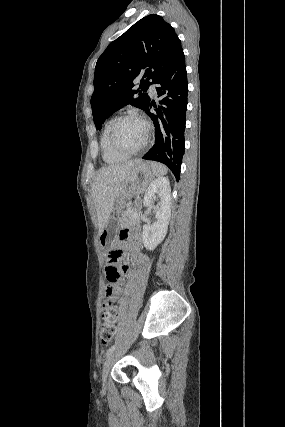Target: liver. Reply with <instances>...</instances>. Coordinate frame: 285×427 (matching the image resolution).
<instances>
[{
  "instance_id": "liver-1",
  "label": "liver",
  "mask_w": 285,
  "mask_h": 427,
  "mask_svg": "<svg viewBox=\"0 0 285 427\" xmlns=\"http://www.w3.org/2000/svg\"><path fill=\"white\" fill-rule=\"evenodd\" d=\"M140 160H132L123 164L102 168L92 184V197L96 209L99 234L105 228L121 188L126 182L129 172Z\"/></svg>"
}]
</instances>
